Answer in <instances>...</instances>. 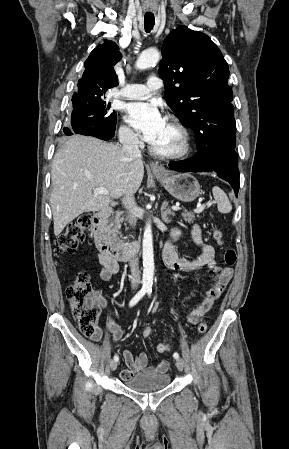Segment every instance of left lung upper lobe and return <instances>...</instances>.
Instances as JSON below:
<instances>
[{
	"instance_id": "left-lung-upper-lobe-1",
	"label": "left lung upper lobe",
	"mask_w": 289,
	"mask_h": 449,
	"mask_svg": "<svg viewBox=\"0 0 289 449\" xmlns=\"http://www.w3.org/2000/svg\"><path fill=\"white\" fill-rule=\"evenodd\" d=\"M162 56L159 75L167 104L196 134L201 158L223 159L214 147L226 139L235 148L236 124L229 69L221 51L207 35L181 26L165 39Z\"/></svg>"
}]
</instances>
